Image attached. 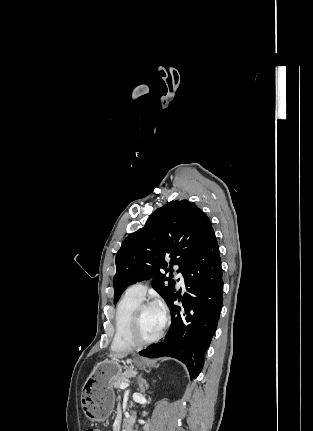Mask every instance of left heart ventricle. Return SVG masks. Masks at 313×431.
Returning <instances> with one entry per match:
<instances>
[{"mask_svg":"<svg viewBox=\"0 0 313 431\" xmlns=\"http://www.w3.org/2000/svg\"><path fill=\"white\" fill-rule=\"evenodd\" d=\"M161 329L160 320L155 309L150 306L143 310L140 322V336L148 339L155 336Z\"/></svg>","mask_w":313,"mask_h":431,"instance_id":"left-heart-ventricle-1","label":"left heart ventricle"}]
</instances>
